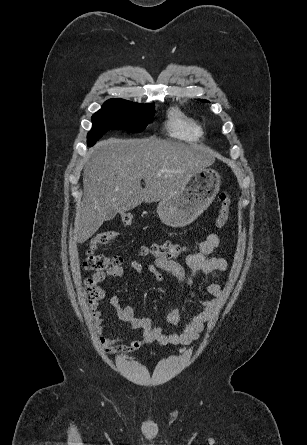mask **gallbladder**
<instances>
[{"mask_svg":"<svg viewBox=\"0 0 307 445\" xmlns=\"http://www.w3.org/2000/svg\"><path fill=\"white\" fill-rule=\"evenodd\" d=\"M114 216H115V212L112 210H109V211H107V213H105L104 218H105V220L110 221V220H112V218H114Z\"/></svg>","mask_w":307,"mask_h":445,"instance_id":"gallbladder-1","label":"gallbladder"}]
</instances>
